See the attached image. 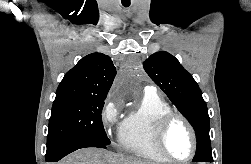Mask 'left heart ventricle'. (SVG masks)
Returning a JSON list of instances; mask_svg holds the SVG:
<instances>
[{
  "instance_id": "left-heart-ventricle-1",
  "label": "left heart ventricle",
  "mask_w": 251,
  "mask_h": 164,
  "mask_svg": "<svg viewBox=\"0 0 251 164\" xmlns=\"http://www.w3.org/2000/svg\"><path fill=\"white\" fill-rule=\"evenodd\" d=\"M165 145L168 152L175 158H186L192 150V141L187 127L180 121L175 120L170 126Z\"/></svg>"
}]
</instances>
